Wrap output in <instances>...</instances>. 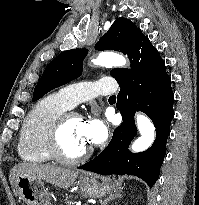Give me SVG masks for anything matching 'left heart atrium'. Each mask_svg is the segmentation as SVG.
I'll return each mask as SVG.
<instances>
[{"label":"left heart atrium","mask_w":199,"mask_h":205,"mask_svg":"<svg viewBox=\"0 0 199 205\" xmlns=\"http://www.w3.org/2000/svg\"><path fill=\"white\" fill-rule=\"evenodd\" d=\"M82 135L88 143L100 144L107 138V127L96 118L82 121Z\"/></svg>","instance_id":"1"}]
</instances>
